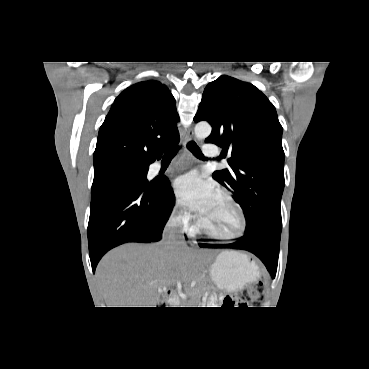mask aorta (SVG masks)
I'll return each mask as SVG.
<instances>
[{"mask_svg":"<svg viewBox=\"0 0 369 369\" xmlns=\"http://www.w3.org/2000/svg\"><path fill=\"white\" fill-rule=\"evenodd\" d=\"M211 126L207 122H200L196 124L194 133L197 139H205L211 133Z\"/></svg>","mask_w":369,"mask_h":369,"instance_id":"aorta-1","label":"aorta"}]
</instances>
